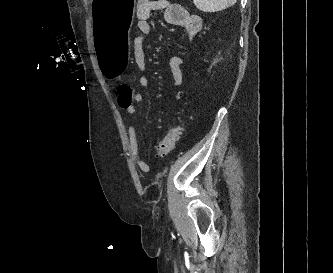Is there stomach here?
Listing matches in <instances>:
<instances>
[{
    "instance_id": "obj_1",
    "label": "stomach",
    "mask_w": 333,
    "mask_h": 273,
    "mask_svg": "<svg viewBox=\"0 0 333 273\" xmlns=\"http://www.w3.org/2000/svg\"><path fill=\"white\" fill-rule=\"evenodd\" d=\"M133 4L134 0H94L95 38H128L135 23ZM128 51V39H95L94 56L105 81L126 75L127 65H131Z\"/></svg>"
}]
</instances>
